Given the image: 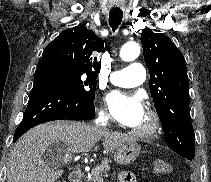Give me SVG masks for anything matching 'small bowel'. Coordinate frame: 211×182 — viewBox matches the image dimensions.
I'll list each match as a JSON object with an SVG mask.
<instances>
[{"instance_id": "obj_1", "label": "small bowel", "mask_w": 211, "mask_h": 182, "mask_svg": "<svg viewBox=\"0 0 211 182\" xmlns=\"http://www.w3.org/2000/svg\"><path fill=\"white\" fill-rule=\"evenodd\" d=\"M119 182H137V181L132 173L125 171L119 175Z\"/></svg>"}]
</instances>
